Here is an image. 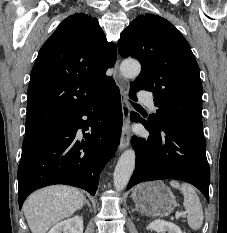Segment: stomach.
Wrapping results in <instances>:
<instances>
[{"label":"stomach","instance_id":"obj_1","mask_svg":"<svg viewBox=\"0 0 227 233\" xmlns=\"http://www.w3.org/2000/svg\"><path fill=\"white\" fill-rule=\"evenodd\" d=\"M132 198L136 207L148 216H167L177 206L173 192L161 181L138 185Z\"/></svg>","mask_w":227,"mask_h":233}]
</instances>
